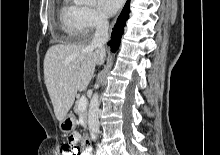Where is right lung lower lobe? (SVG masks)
I'll list each match as a JSON object with an SVG mask.
<instances>
[{
  "label": "right lung lower lobe",
  "mask_w": 220,
  "mask_h": 155,
  "mask_svg": "<svg viewBox=\"0 0 220 155\" xmlns=\"http://www.w3.org/2000/svg\"><path fill=\"white\" fill-rule=\"evenodd\" d=\"M129 4H130V0H127L114 26V29L112 32V38L108 42V45L111 47L112 52H115L119 48L120 40L124 32L125 22L129 18V12H130Z\"/></svg>",
  "instance_id": "right-lung-lower-lobe-1"
}]
</instances>
